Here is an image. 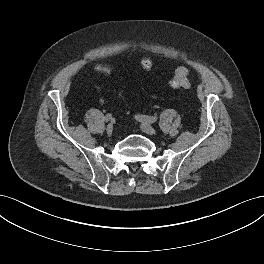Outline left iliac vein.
<instances>
[{
  "label": "left iliac vein",
  "instance_id": "left-iliac-vein-1",
  "mask_svg": "<svg viewBox=\"0 0 264 264\" xmlns=\"http://www.w3.org/2000/svg\"><path fill=\"white\" fill-rule=\"evenodd\" d=\"M141 129L147 134L153 135L155 134V129L148 123L142 122Z\"/></svg>",
  "mask_w": 264,
  "mask_h": 264
}]
</instances>
